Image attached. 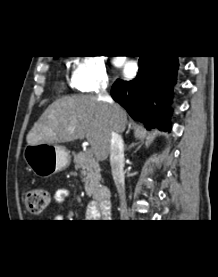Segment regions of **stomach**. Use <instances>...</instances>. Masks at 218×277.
I'll use <instances>...</instances> for the list:
<instances>
[{"label":"stomach","mask_w":218,"mask_h":277,"mask_svg":"<svg viewBox=\"0 0 218 277\" xmlns=\"http://www.w3.org/2000/svg\"><path fill=\"white\" fill-rule=\"evenodd\" d=\"M23 158L30 170L37 176L48 177L70 165L66 148L57 144L27 145Z\"/></svg>","instance_id":"stomach-1"}]
</instances>
